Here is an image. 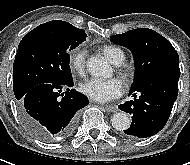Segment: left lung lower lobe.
I'll list each match as a JSON object with an SVG mask.
<instances>
[{"label": "left lung lower lobe", "mask_w": 190, "mask_h": 165, "mask_svg": "<svg viewBox=\"0 0 190 165\" xmlns=\"http://www.w3.org/2000/svg\"><path fill=\"white\" fill-rule=\"evenodd\" d=\"M179 76L159 74L131 89L129 95L134 100L118 106L120 110L132 115L131 126L124 131L127 135L146 138L165 126L178 95ZM137 93L140 94L139 97Z\"/></svg>", "instance_id": "0a47b994"}]
</instances>
